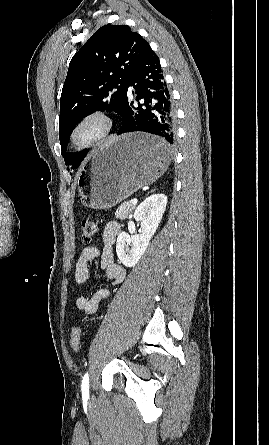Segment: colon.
<instances>
[{"label":"colon","mask_w":269,"mask_h":445,"mask_svg":"<svg viewBox=\"0 0 269 445\" xmlns=\"http://www.w3.org/2000/svg\"><path fill=\"white\" fill-rule=\"evenodd\" d=\"M97 232V224L92 219H85L81 223V240L83 243H89ZM70 347L74 352H78L81 346V327H74L69 341Z\"/></svg>","instance_id":"1"}]
</instances>
